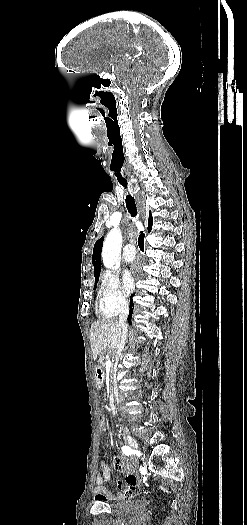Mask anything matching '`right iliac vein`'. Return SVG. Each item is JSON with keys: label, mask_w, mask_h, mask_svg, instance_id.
Returning <instances> with one entry per match:
<instances>
[{"label": "right iliac vein", "mask_w": 247, "mask_h": 525, "mask_svg": "<svg viewBox=\"0 0 247 525\" xmlns=\"http://www.w3.org/2000/svg\"><path fill=\"white\" fill-rule=\"evenodd\" d=\"M126 440L128 442V444L134 449V450H137L138 449V444L136 442V440L134 438H132L130 435H127L126 436Z\"/></svg>", "instance_id": "right-iliac-vein-1"}]
</instances>
